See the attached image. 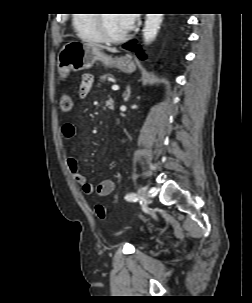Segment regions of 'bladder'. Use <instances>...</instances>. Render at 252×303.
Listing matches in <instances>:
<instances>
[{"instance_id":"obj_1","label":"bladder","mask_w":252,"mask_h":303,"mask_svg":"<svg viewBox=\"0 0 252 303\" xmlns=\"http://www.w3.org/2000/svg\"><path fill=\"white\" fill-rule=\"evenodd\" d=\"M149 247H150V244H148V243H143V244L140 245L141 249H147Z\"/></svg>"}]
</instances>
